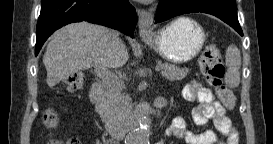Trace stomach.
Here are the masks:
<instances>
[{
	"label": "stomach",
	"mask_w": 273,
	"mask_h": 144,
	"mask_svg": "<svg viewBox=\"0 0 273 144\" xmlns=\"http://www.w3.org/2000/svg\"><path fill=\"white\" fill-rule=\"evenodd\" d=\"M143 40L165 60L179 64L196 57L203 47L205 32L200 24L188 17H179Z\"/></svg>",
	"instance_id": "0dacf381"
}]
</instances>
